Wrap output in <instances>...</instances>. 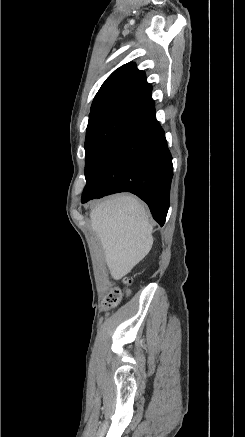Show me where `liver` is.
<instances>
[{"label":"liver","instance_id":"1","mask_svg":"<svg viewBox=\"0 0 245 437\" xmlns=\"http://www.w3.org/2000/svg\"><path fill=\"white\" fill-rule=\"evenodd\" d=\"M90 220L115 280L129 273L152 248L148 213L133 196L120 195L97 204L90 212Z\"/></svg>","mask_w":245,"mask_h":437}]
</instances>
